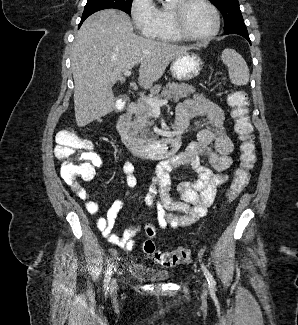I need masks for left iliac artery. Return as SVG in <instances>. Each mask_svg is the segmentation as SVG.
<instances>
[{
	"label": "left iliac artery",
	"mask_w": 298,
	"mask_h": 325,
	"mask_svg": "<svg viewBox=\"0 0 298 325\" xmlns=\"http://www.w3.org/2000/svg\"><path fill=\"white\" fill-rule=\"evenodd\" d=\"M201 269L208 281L209 286L214 288L216 285L215 280L204 263L201 264Z\"/></svg>",
	"instance_id": "1"
}]
</instances>
